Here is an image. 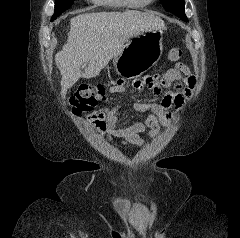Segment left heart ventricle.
Listing matches in <instances>:
<instances>
[{"label":"left heart ventricle","mask_w":240,"mask_h":238,"mask_svg":"<svg viewBox=\"0 0 240 238\" xmlns=\"http://www.w3.org/2000/svg\"><path fill=\"white\" fill-rule=\"evenodd\" d=\"M133 1H146V0H133Z\"/></svg>","instance_id":"1"}]
</instances>
